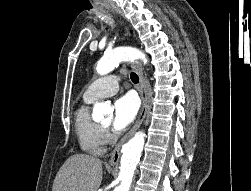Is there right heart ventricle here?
I'll list each match as a JSON object with an SVG mask.
<instances>
[{
	"instance_id": "right-heart-ventricle-1",
	"label": "right heart ventricle",
	"mask_w": 251,
	"mask_h": 191,
	"mask_svg": "<svg viewBox=\"0 0 251 191\" xmlns=\"http://www.w3.org/2000/svg\"><path fill=\"white\" fill-rule=\"evenodd\" d=\"M92 100L83 98L74 116L75 133L80 149L94 156L105 152L104 127L94 121L89 115L88 104Z\"/></svg>"
}]
</instances>
